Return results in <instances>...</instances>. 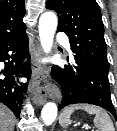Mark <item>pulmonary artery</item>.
I'll return each mask as SVG.
<instances>
[{"mask_svg": "<svg viewBox=\"0 0 117 131\" xmlns=\"http://www.w3.org/2000/svg\"><path fill=\"white\" fill-rule=\"evenodd\" d=\"M57 40H58V42L66 45L67 47H69V39H68V37L65 34L59 33L57 35Z\"/></svg>", "mask_w": 117, "mask_h": 131, "instance_id": "obj_1", "label": "pulmonary artery"}]
</instances>
